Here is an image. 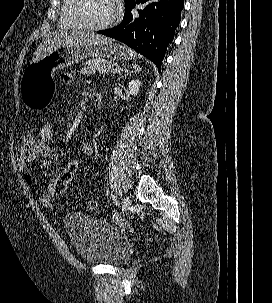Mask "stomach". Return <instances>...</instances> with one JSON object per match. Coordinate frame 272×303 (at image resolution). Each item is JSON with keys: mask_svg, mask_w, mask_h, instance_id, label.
<instances>
[{"mask_svg": "<svg viewBox=\"0 0 272 303\" xmlns=\"http://www.w3.org/2000/svg\"><path fill=\"white\" fill-rule=\"evenodd\" d=\"M90 57L119 61L132 59L135 55L126 46L112 39L61 46L24 69L20 82L22 102L29 109L47 106L52 99L55 71Z\"/></svg>", "mask_w": 272, "mask_h": 303, "instance_id": "obj_1", "label": "stomach"}]
</instances>
